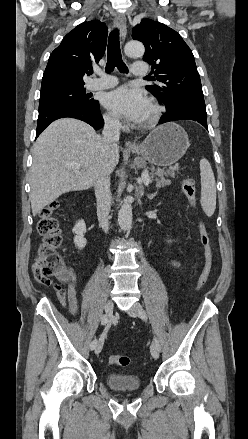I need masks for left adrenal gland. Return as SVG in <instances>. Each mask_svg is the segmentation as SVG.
<instances>
[{"label": "left adrenal gland", "mask_w": 248, "mask_h": 439, "mask_svg": "<svg viewBox=\"0 0 248 439\" xmlns=\"http://www.w3.org/2000/svg\"><path fill=\"white\" fill-rule=\"evenodd\" d=\"M155 195H156V193H154V194H150V195H148V198H149V199H153Z\"/></svg>", "instance_id": "a2214340"}]
</instances>
